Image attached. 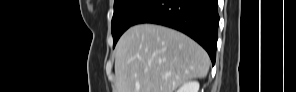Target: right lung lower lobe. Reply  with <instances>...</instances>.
<instances>
[{"label":"right lung lower lobe","mask_w":296,"mask_h":92,"mask_svg":"<svg viewBox=\"0 0 296 92\" xmlns=\"http://www.w3.org/2000/svg\"><path fill=\"white\" fill-rule=\"evenodd\" d=\"M154 23L179 30L198 42L216 59L219 24L217 0H155L134 21Z\"/></svg>","instance_id":"98d812e1"}]
</instances>
